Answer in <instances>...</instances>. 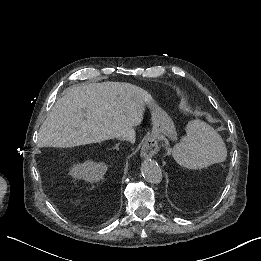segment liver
Here are the masks:
<instances>
[{
	"label": "liver",
	"instance_id": "1",
	"mask_svg": "<svg viewBox=\"0 0 261 261\" xmlns=\"http://www.w3.org/2000/svg\"><path fill=\"white\" fill-rule=\"evenodd\" d=\"M151 95L125 82L89 83L67 88L43 122L41 146L75 147L118 139L135 143L134 126L141 123Z\"/></svg>",
	"mask_w": 261,
	"mask_h": 261
}]
</instances>
